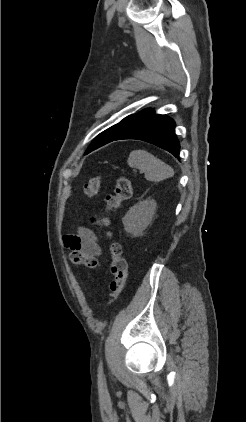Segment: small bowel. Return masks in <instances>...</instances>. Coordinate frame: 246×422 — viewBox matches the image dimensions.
<instances>
[{
    "mask_svg": "<svg viewBox=\"0 0 246 422\" xmlns=\"http://www.w3.org/2000/svg\"><path fill=\"white\" fill-rule=\"evenodd\" d=\"M66 248L71 251H80L97 259L101 255V248L94 232L86 227H81L77 234L66 235L63 239Z\"/></svg>",
    "mask_w": 246,
    "mask_h": 422,
    "instance_id": "c3829d8e",
    "label": "small bowel"
}]
</instances>
